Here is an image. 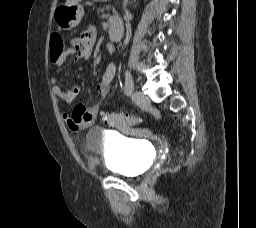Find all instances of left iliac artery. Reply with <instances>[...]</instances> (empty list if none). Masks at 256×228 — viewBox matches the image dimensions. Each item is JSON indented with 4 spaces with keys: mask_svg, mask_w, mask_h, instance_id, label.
I'll use <instances>...</instances> for the list:
<instances>
[{
    "mask_svg": "<svg viewBox=\"0 0 256 228\" xmlns=\"http://www.w3.org/2000/svg\"><path fill=\"white\" fill-rule=\"evenodd\" d=\"M133 89H134V81H133L132 75L130 74L129 71H126L124 92L126 95H131Z\"/></svg>",
    "mask_w": 256,
    "mask_h": 228,
    "instance_id": "obj_1",
    "label": "left iliac artery"
}]
</instances>
